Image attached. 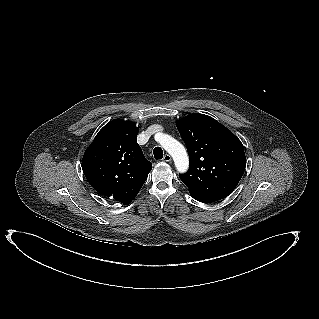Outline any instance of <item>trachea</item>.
<instances>
[{"mask_svg":"<svg viewBox=\"0 0 319 319\" xmlns=\"http://www.w3.org/2000/svg\"><path fill=\"white\" fill-rule=\"evenodd\" d=\"M153 154L156 160H160L163 158V150L161 147H155L153 150Z\"/></svg>","mask_w":319,"mask_h":319,"instance_id":"3493384b","label":"trachea"}]
</instances>
